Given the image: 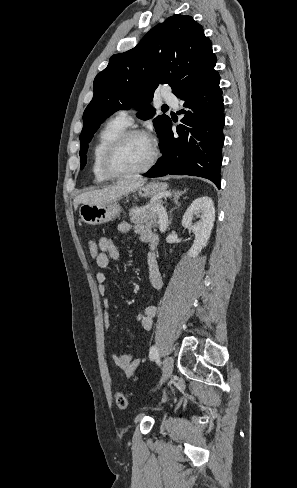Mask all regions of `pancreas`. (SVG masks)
Segmentation results:
<instances>
[{"mask_svg":"<svg viewBox=\"0 0 297 488\" xmlns=\"http://www.w3.org/2000/svg\"><path fill=\"white\" fill-rule=\"evenodd\" d=\"M161 205L159 202H151L147 207H134L130 209L129 216L131 223L134 224H146L148 226H156L157 211L155 207ZM162 206V205H161Z\"/></svg>","mask_w":297,"mask_h":488,"instance_id":"1","label":"pancreas"}]
</instances>
